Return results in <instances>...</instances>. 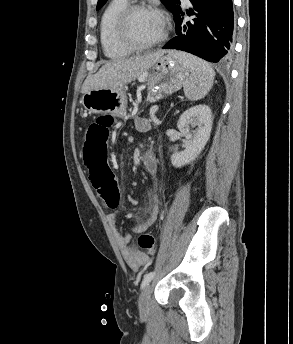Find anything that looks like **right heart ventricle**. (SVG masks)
<instances>
[{
	"mask_svg": "<svg viewBox=\"0 0 293 344\" xmlns=\"http://www.w3.org/2000/svg\"><path fill=\"white\" fill-rule=\"evenodd\" d=\"M128 5V0H111L102 12L99 37L103 52L112 60L124 59L133 50L123 45L116 35L115 24L120 12Z\"/></svg>",
	"mask_w": 293,
	"mask_h": 344,
	"instance_id": "1",
	"label": "right heart ventricle"
}]
</instances>
